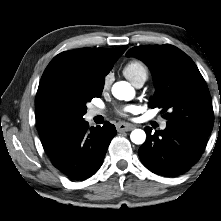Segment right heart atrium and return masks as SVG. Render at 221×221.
Masks as SVG:
<instances>
[{"label":"right heart atrium","instance_id":"right-heart-atrium-1","mask_svg":"<svg viewBox=\"0 0 221 221\" xmlns=\"http://www.w3.org/2000/svg\"><path fill=\"white\" fill-rule=\"evenodd\" d=\"M110 78H111V76H110V75L106 76V78H105V84H108V83H109Z\"/></svg>","mask_w":221,"mask_h":221}]
</instances>
